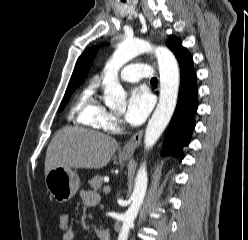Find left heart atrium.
<instances>
[{"label":"left heart atrium","instance_id":"left-heart-atrium-1","mask_svg":"<svg viewBox=\"0 0 248 240\" xmlns=\"http://www.w3.org/2000/svg\"><path fill=\"white\" fill-rule=\"evenodd\" d=\"M152 107L153 98L150 92L142 86L134 87L129 93L125 119L130 125H140L147 118Z\"/></svg>","mask_w":248,"mask_h":240}]
</instances>
